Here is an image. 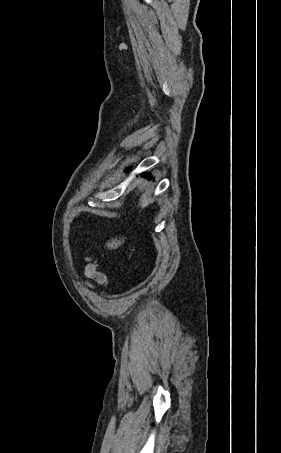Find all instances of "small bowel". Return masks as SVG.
<instances>
[{
	"instance_id": "small-bowel-1",
	"label": "small bowel",
	"mask_w": 281,
	"mask_h": 453,
	"mask_svg": "<svg viewBox=\"0 0 281 453\" xmlns=\"http://www.w3.org/2000/svg\"><path fill=\"white\" fill-rule=\"evenodd\" d=\"M86 278L92 280L97 285L101 287L107 286V276L103 271H100L96 268V263L92 261L87 266Z\"/></svg>"
}]
</instances>
